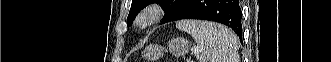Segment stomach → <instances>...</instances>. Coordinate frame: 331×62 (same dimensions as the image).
I'll return each instance as SVG.
<instances>
[{"instance_id": "obj_1", "label": "stomach", "mask_w": 331, "mask_h": 62, "mask_svg": "<svg viewBox=\"0 0 331 62\" xmlns=\"http://www.w3.org/2000/svg\"><path fill=\"white\" fill-rule=\"evenodd\" d=\"M190 44L181 37L173 38L168 42L167 49L160 45H149L144 50V57L147 60H156L160 58L168 49L174 56L180 57L188 53Z\"/></svg>"}]
</instances>
